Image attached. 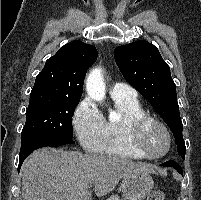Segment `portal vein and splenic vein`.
Returning a JSON list of instances; mask_svg holds the SVG:
<instances>
[{"label":"portal vein and splenic vein","instance_id":"1","mask_svg":"<svg viewBox=\"0 0 201 200\" xmlns=\"http://www.w3.org/2000/svg\"><path fill=\"white\" fill-rule=\"evenodd\" d=\"M92 185H94V182H91V183H90V187H92Z\"/></svg>","mask_w":201,"mask_h":200}]
</instances>
